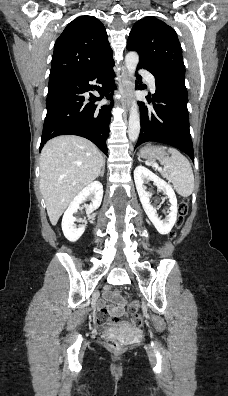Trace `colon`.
Instances as JSON below:
<instances>
[{
	"mask_svg": "<svg viewBox=\"0 0 228 396\" xmlns=\"http://www.w3.org/2000/svg\"><path fill=\"white\" fill-rule=\"evenodd\" d=\"M178 221H177V226L178 227H182L185 217L188 214V201L186 199H184L178 207ZM171 240L176 239L177 234L176 232H171L169 235ZM139 309H140V304L138 301L133 300L129 303L128 305V312L132 318V322L136 327H142L143 326V318L141 316V314L139 313ZM100 316H102L100 314ZM116 322V319L108 322V326L113 325ZM107 345L110 349L115 350V351H119L123 348L124 343L122 340H120L118 337H110L107 341Z\"/></svg>",
	"mask_w": 228,
	"mask_h": 396,
	"instance_id": "5ec220e1",
	"label": "colon"
}]
</instances>
